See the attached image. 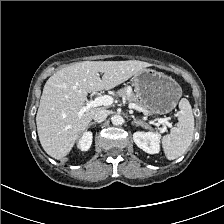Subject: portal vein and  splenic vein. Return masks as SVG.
Returning <instances> with one entry per match:
<instances>
[{
  "label": "portal vein and splenic vein",
  "instance_id": "18ae733b",
  "mask_svg": "<svg viewBox=\"0 0 224 224\" xmlns=\"http://www.w3.org/2000/svg\"><path fill=\"white\" fill-rule=\"evenodd\" d=\"M113 101H114L113 97L109 95H103V96L96 97L94 100H89L86 102V105L79 111L78 117L80 118L83 115V113L90 108L98 107L102 105L109 106L113 103ZM129 108H133L141 112H147L133 103L129 104ZM158 122L163 125V131L166 130V126L170 127V123L165 118L158 119Z\"/></svg>",
  "mask_w": 224,
  "mask_h": 224
}]
</instances>
